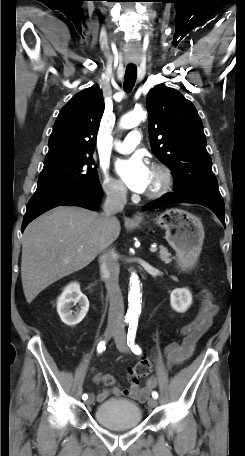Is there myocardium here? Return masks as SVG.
<instances>
[{"mask_svg": "<svg viewBox=\"0 0 245 456\" xmlns=\"http://www.w3.org/2000/svg\"><path fill=\"white\" fill-rule=\"evenodd\" d=\"M150 169L160 176V182L157 187L146 191L145 196L150 199H157L165 195L173 185V174L171 169L163 163L155 162Z\"/></svg>", "mask_w": 245, "mask_h": 456, "instance_id": "myocardium-1", "label": "myocardium"}]
</instances>
